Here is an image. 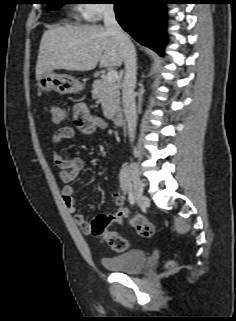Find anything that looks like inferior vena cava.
Instances as JSON below:
<instances>
[{"label": "inferior vena cava", "instance_id": "inferior-vena-cava-1", "mask_svg": "<svg viewBox=\"0 0 236 321\" xmlns=\"http://www.w3.org/2000/svg\"><path fill=\"white\" fill-rule=\"evenodd\" d=\"M105 28L115 35L125 52V75L122 83V103L125 120L127 122L130 141L134 140L137 126V112L135 105L134 89L136 85V51L128 35L118 24L115 18L113 5H107L104 9Z\"/></svg>", "mask_w": 236, "mask_h": 321}]
</instances>
